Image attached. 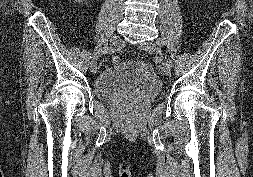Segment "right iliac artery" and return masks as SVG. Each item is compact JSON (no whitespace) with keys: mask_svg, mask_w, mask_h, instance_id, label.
<instances>
[{"mask_svg":"<svg viewBox=\"0 0 253 177\" xmlns=\"http://www.w3.org/2000/svg\"><path fill=\"white\" fill-rule=\"evenodd\" d=\"M114 51H116V49H114L112 47H109V46L102 47L99 50H95L94 53L91 54V60L97 61L98 58L101 57V54H105L108 52L110 53V52H114ZM92 67H95V64H92Z\"/></svg>","mask_w":253,"mask_h":177,"instance_id":"82829eb1","label":"right iliac artery"}]
</instances>
